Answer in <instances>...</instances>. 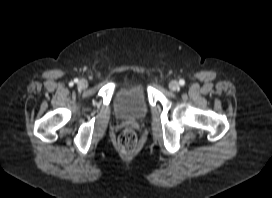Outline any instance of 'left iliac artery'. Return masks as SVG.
Returning <instances> with one entry per match:
<instances>
[{"label":"left iliac artery","instance_id":"1","mask_svg":"<svg viewBox=\"0 0 272 198\" xmlns=\"http://www.w3.org/2000/svg\"><path fill=\"white\" fill-rule=\"evenodd\" d=\"M179 84H180L181 86H183V85L185 84V81H184L183 79H181V80L179 81Z\"/></svg>","mask_w":272,"mask_h":198}]
</instances>
